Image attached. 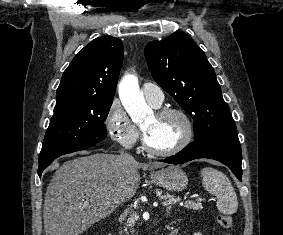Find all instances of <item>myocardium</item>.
Returning a JSON list of instances; mask_svg holds the SVG:
<instances>
[{
  "label": "myocardium",
  "instance_id": "1",
  "mask_svg": "<svg viewBox=\"0 0 283 235\" xmlns=\"http://www.w3.org/2000/svg\"><path fill=\"white\" fill-rule=\"evenodd\" d=\"M155 115L159 118L168 116V115H176L181 118L184 124V133L180 141L170 149L167 150H158L153 148L148 140L144 130H142V144L143 148L146 152L151 155L158 157H169L175 154H178L182 150H184L192 141L194 137V125L190 118V116L182 109L173 108V107H164L156 111Z\"/></svg>",
  "mask_w": 283,
  "mask_h": 235
}]
</instances>
